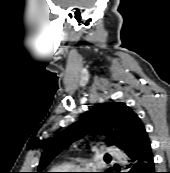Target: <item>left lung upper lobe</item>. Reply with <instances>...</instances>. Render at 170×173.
Wrapping results in <instances>:
<instances>
[{
    "instance_id": "1",
    "label": "left lung upper lobe",
    "mask_w": 170,
    "mask_h": 173,
    "mask_svg": "<svg viewBox=\"0 0 170 173\" xmlns=\"http://www.w3.org/2000/svg\"><path fill=\"white\" fill-rule=\"evenodd\" d=\"M87 134H107L108 145H116L125 153L149 141L148 134L138 115L125 103L98 104L79 121L48 141L41 157L37 173L71 143ZM113 173L110 168L107 172Z\"/></svg>"
}]
</instances>
